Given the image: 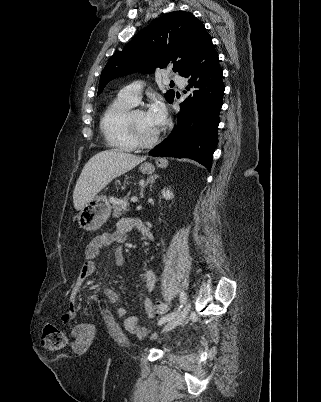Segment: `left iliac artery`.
Segmentation results:
<instances>
[{"label":"left iliac artery","mask_w":321,"mask_h":402,"mask_svg":"<svg viewBox=\"0 0 321 402\" xmlns=\"http://www.w3.org/2000/svg\"><path fill=\"white\" fill-rule=\"evenodd\" d=\"M186 300H187L186 293H185L184 291H181V292H180V304H181V305H180V307L178 308V310H179L180 308H182V306L186 303ZM176 314H177V312H173V313H171V314H168V315L162 317V318L158 321V325H162V324H164L165 322L169 321V320L172 319L174 316H176Z\"/></svg>","instance_id":"left-iliac-artery-1"}]
</instances>
